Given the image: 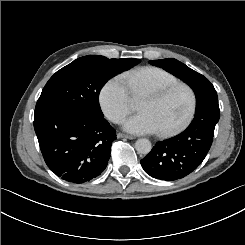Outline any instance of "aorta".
Wrapping results in <instances>:
<instances>
[{
	"label": "aorta",
	"mask_w": 245,
	"mask_h": 245,
	"mask_svg": "<svg viewBox=\"0 0 245 245\" xmlns=\"http://www.w3.org/2000/svg\"><path fill=\"white\" fill-rule=\"evenodd\" d=\"M135 149L139 154L147 155L151 151L152 145L148 139L141 138L135 142Z\"/></svg>",
	"instance_id": "762f6f07"
}]
</instances>
